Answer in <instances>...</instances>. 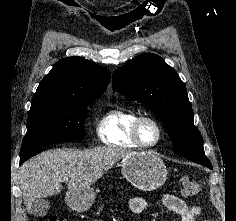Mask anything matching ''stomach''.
<instances>
[{
	"label": "stomach",
	"mask_w": 236,
	"mask_h": 221,
	"mask_svg": "<svg viewBox=\"0 0 236 221\" xmlns=\"http://www.w3.org/2000/svg\"><path fill=\"white\" fill-rule=\"evenodd\" d=\"M123 176L134 187L143 191H153L160 188L166 181L167 168L160 157L150 151L132 152L126 155L121 164ZM95 200L93 188L80 191H69L65 201L76 211L89 209Z\"/></svg>",
	"instance_id": "obj_1"
}]
</instances>
